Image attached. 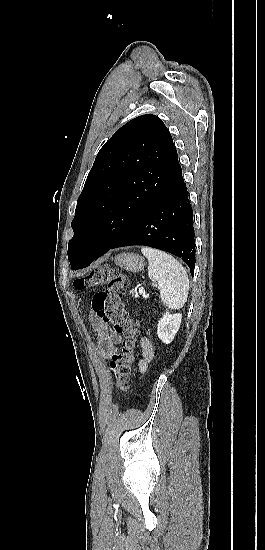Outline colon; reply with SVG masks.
<instances>
[{
    "instance_id": "obj_1",
    "label": "colon",
    "mask_w": 265,
    "mask_h": 550,
    "mask_svg": "<svg viewBox=\"0 0 265 550\" xmlns=\"http://www.w3.org/2000/svg\"><path fill=\"white\" fill-rule=\"evenodd\" d=\"M105 285L92 298V308L97 316L111 325L115 333L124 337L121 348L113 354L110 373L118 391L128 389V381L135 360L136 336L139 324L132 319L123 304L126 293V277L117 268L104 265L85 276L74 280L77 290H85Z\"/></svg>"
}]
</instances>
